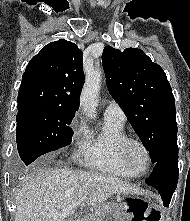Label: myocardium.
Returning a JSON list of instances; mask_svg holds the SVG:
<instances>
[{
    "label": "myocardium",
    "instance_id": "myocardium-1",
    "mask_svg": "<svg viewBox=\"0 0 190 221\" xmlns=\"http://www.w3.org/2000/svg\"><path fill=\"white\" fill-rule=\"evenodd\" d=\"M133 145L140 146L146 154L147 164L143 170H138L133 165L130 159V149ZM120 156H121L123 164L136 176H141V175L146 174L149 171L151 164H152V154H151L149 147L142 139L138 137H126L123 140L121 147H120Z\"/></svg>",
    "mask_w": 190,
    "mask_h": 221
}]
</instances>
